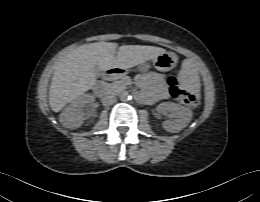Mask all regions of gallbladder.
Returning a JSON list of instances; mask_svg holds the SVG:
<instances>
[{
    "instance_id": "1",
    "label": "gallbladder",
    "mask_w": 260,
    "mask_h": 202,
    "mask_svg": "<svg viewBox=\"0 0 260 202\" xmlns=\"http://www.w3.org/2000/svg\"><path fill=\"white\" fill-rule=\"evenodd\" d=\"M94 72H95L96 76H102V71L99 70L97 67L94 68Z\"/></svg>"
}]
</instances>
